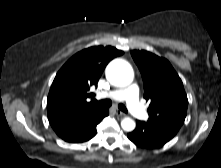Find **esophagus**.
I'll return each instance as SVG.
<instances>
[{"mask_svg": "<svg viewBox=\"0 0 221 168\" xmlns=\"http://www.w3.org/2000/svg\"><path fill=\"white\" fill-rule=\"evenodd\" d=\"M115 114L120 116V117H125L126 114L124 112H122L121 110L119 109H115Z\"/></svg>", "mask_w": 221, "mask_h": 168, "instance_id": "obj_1", "label": "esophagus"}]
</instances>
